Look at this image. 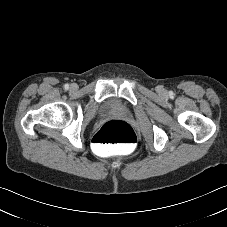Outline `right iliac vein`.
Listing matches in <instances>:
<instances>
[{
    "label": "right iliac vein",
    "instance_id": "obj_1",
    "mask_svg": "<svg viewBox=\"0 0 227 227\" xmlns=\"http://www.w3.org/2000/svg\"><path fill=\"white\" fill-rule=\"evenodd\" d=\"M77 88H78L77 84H72V85L70 86V89H71L72 91L77 90Z\"/></svg>",
    "mask_w": 227,
    "mask_h": 227
}]
</instances>
